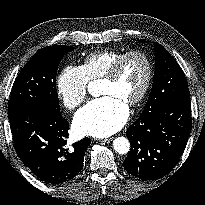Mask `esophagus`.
I'll return each instance as SVG.
<instances>
[{
	"instance_id": "34e87169",
	"label": "esophagus",
	"mask_w": 205,
	"mask_h": 205,
	"mask_svg": "<svg viewBox=\"0 0 205 205\" xmlns=\"http://www.w3.org/2000/svg\"><path fill=\"white\" fill-rule=\"evenodd\" d=\"M112 140H113V137H109V138L102 139L101 141L105 142V143H108V142H110Z\"/></svg>"
}]
</instances>
